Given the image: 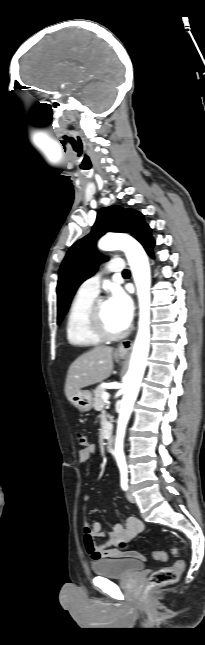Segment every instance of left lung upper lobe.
Segmentation results:
<instances>
[{
  "instance_id": "5c2ea615",
  "label": "left lung upper lobe",
  "mask_w": 205,
  "mask_h": 645,
  "mask_svg": "<svg viewBox=\"0 0 205 645\" xmlns=\"http://www.w3.org/2000/svg\"><path fill=\"white\" fill-rule=\"evenodd\" d=\"M149 229L143 214L136 210L113 205L98 211L91 233L72 245L60 267L57 285L58 324L68 311L79 285L94 274L100 261L108 259L97 251L96 240L106 232L113 231L128 233L140 242Z\"/></svg>"
}]
</instances>
